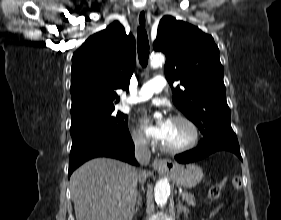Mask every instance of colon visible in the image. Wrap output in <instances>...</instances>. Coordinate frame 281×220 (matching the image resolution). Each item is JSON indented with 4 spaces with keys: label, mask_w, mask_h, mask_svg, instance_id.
Returning <instances> with one entry per match:
<instances>
[{
    "label": "colon",
    "mask_w": 281,
    "mask_h": 220,
    "mask_svg": "<svg viewBox=\"0 0 281 220\" xmlns=\"http://www.w3.org/2000/svg\"><path fill=\"white\" fill-rule=\"evenodd\" d=\"M232 184L236 189H238L240 187V178L237 176L233 177ZM223 187H224V181H220V182L213 184L208 191L209 198L211 200L218 199L219 196L221 195Z\"/></svg>",
    "instance_id": "obj_1"
}]
</instances>
